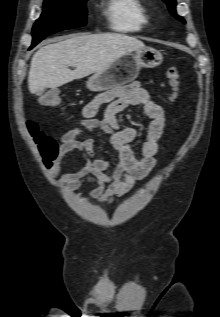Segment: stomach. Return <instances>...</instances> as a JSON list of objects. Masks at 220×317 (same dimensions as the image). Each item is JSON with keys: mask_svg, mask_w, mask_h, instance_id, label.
I'll return each mask as SVG.
<instances>
[{"mask_svg": "<svg viewBox=\"0 0 220 317\" xmlns=\"http://www.w3.org/2000/svg\"><path fill=\"white\" fill-rule=\"evenodd\" d=\"M163 61L162 54L153 48H142L118 58L107 69L94 73L87 81L90 91H106L135 80L141 68H154Z\"/></svg>", "mask_w": 220, "mask_h": 317, "instance_id": "obj_1", "label": "stomach"}]
</instances>
